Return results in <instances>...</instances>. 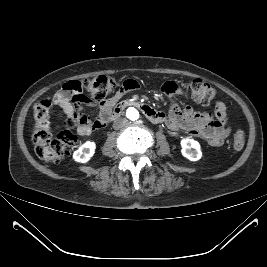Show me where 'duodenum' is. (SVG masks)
Wrapping results in <instances>:
<instances>
[{
    "label": "duodenum",
    "mask_w": 267,
    "mask_h": 267,
    "mask_svg": "<svg viewBox=\"0 0 267 267\" xmlns=\"http://www.w3.org/2000/svg\"><path fill=\"white\" fill-rule=\"evenodd\" d=\"M129 106L138 107L143 112V114L153 123H159L164 119L163 114L161 112L156 111L150 105L139 100L129 99L116 104L109 112L107 120L113 121L117 119L125 110V108Z\"/></svg>",
    "instance_id": "410a0bca"
}]
</instances>
